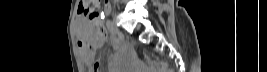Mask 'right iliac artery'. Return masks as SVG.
<instances>
[{"mask_svg":"<svg viewBox=\"0 0 267 72\" xmlns=\"http://www.w3.org/2000/svg\"><path fill=\"white\" fill-rule=\"evenodd\" d=\"M107 28L112 34L115 33L113 22L107 21Z\"/></svg>","mask_w":267,"mask_h":72,"instance_id":"right-iliac-artery-1","label":"right iliac artery"}]
</instances>
